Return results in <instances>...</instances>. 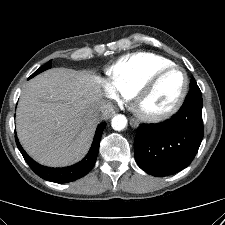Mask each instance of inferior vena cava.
<instances>
[{"instance_id":"inferior-vena-cava-1","label":"inferior vena cava","mask_w":225,"mask_h":225,"mask_svg":"<svg viewBox=\"0 0 225 225\" xmlns=\"http://www.w3.org/2000/svg\"><path fill=\"white\" fill-rule=\"evenodd\" d=\"M114 111V106L110 102H101L99 110L96 113L98 120H104L111 116Z\"/></svg>"}]
</instances>
